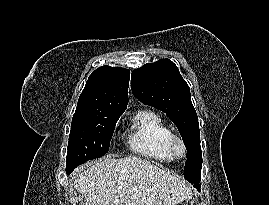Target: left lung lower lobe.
I'll return each mask as SVG.
<instances>
[{
    "label": "left lung lower lobe",
    "mask_w": 269,
    "mask_h": 205,
    "mask_svg": "<svg viewBox=\"0 0 269 205\" xmlns=\"http://www.w3.org/2000/svg\"><path fill=\"white\" fill-rule=\"evenodd\" d=\"M197 180H198V183L193 184V185L195 186V188H197L199 190L200 189L199 182H200L201 179L198 178Z\"/></svg>",
    "instance_id": "1"
}]
</instances>
